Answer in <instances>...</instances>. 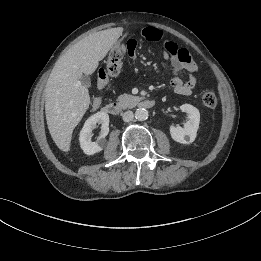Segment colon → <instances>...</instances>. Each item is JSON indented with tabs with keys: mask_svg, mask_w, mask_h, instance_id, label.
<instances>
[{
	"mask_svg": "<svg viewBox=\"0 0 261 261\" xmlns=\"http://www.w3.org/2000/svg\"><path fill=\"white\" fill-rule=\"evenodd\" d=\"M123 50L114 47L105 62V65L96 72V82L100 89H103L110 79L117 76L122 69ZM202 102L206 107L214 108L218 103L217 95L213 91H206L202 95Z\"/></svg>",
	"mask_w": 261,
	"mask_h": 261,
	"instance_id": "5ec220e1",
	"label": "colon"
}]
</instances>
